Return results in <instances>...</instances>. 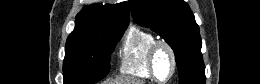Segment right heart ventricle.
Wrapping results in <instances>:
<instances>
[{
    "instance_id": "right-heart-ventricle-1",
    "label": "right heart ventricle",
    "mask_w": 260,
    "mask_h": 84,
    "mask_svg": "<svg viewBox=\"0 0 260 84\" xmlns=\"http://www.w3.org/2000/svg\"><path fill=\"white\" fill-rule=\"evenodd\" d=\"M156 37L148 30L131 26L123 40L119 71L141 79H152L148 69V55Z\"/></svg>"
}]
</instances>
